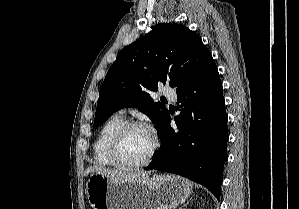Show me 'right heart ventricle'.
<instances>
[{
  "label": "right heart ventricle",
  "mask_w": 299,
  "mask_h": 209,
  "mask_svg": "<svg viewBox=\"0 0 299 209\" xmlns=\"http://www.w3.org/2000/svg\"><path fill=\"white\" fill-rule=\"evenodd\" d=\"M124 122V116L121 113H116L101 127L94 143V157L98 164L114 166L109 156V145L113 134Z\"/></svg>",
  "instance_id": "e07e8e85"
}]
</instances>
